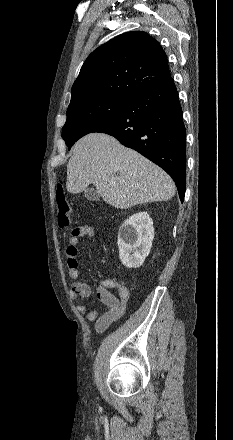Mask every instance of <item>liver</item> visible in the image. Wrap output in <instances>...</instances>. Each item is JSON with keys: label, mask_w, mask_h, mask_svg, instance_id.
<instances>
[{"label": "liver", "mask_w": 233, "mask_h": 440, "mask_svg": "<svg viewBox=\"0 0 233 440\" xmlns=\"http://www.w3.org/2000/svg\"><path fill=\"white\" fill-rule=\"evenodd\" d=\"M90 184L117 209L167 201L176 192L165 171L105 133H90L79 139L67 165L68 192L81 193Z\"/></svg>", "instance_id": "obj_1"}]
</instances>
